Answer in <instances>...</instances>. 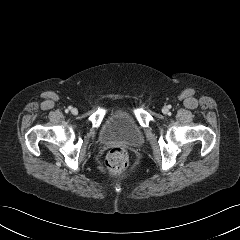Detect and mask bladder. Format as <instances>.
Segmentation results:
<instances>
[{"mask_svg": "<svg viewBox=\"0 0 240 240\" xmlns=\"http://www.w3.org/2000/svg\"><path fill=\"white\" fill-rule=\"evenodd\" d=\"M100 137L105 142L137 145L143 140V131L125 112H115L103 126Z\"/></svg>", "mask_w": 240, "mask_h": 240, "instance_id": "bladder-1", "label": "bladder"}]
</instances>
